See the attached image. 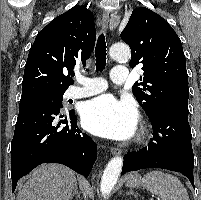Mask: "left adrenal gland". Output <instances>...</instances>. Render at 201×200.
<instances>
[{
  "mask_svg": "<svg viewBox=\"0 0 201 200\" xmlns=\"http://www.w3.org/2000/svg\"><path fill=\"white\" fill-rule=\"evenodd\" d=\"M127 195H133L136 200H138L137 194L132 190V188L127 192Z\"/></svg>",
  "mask_w": 201,
  "mask_h": 200,
  "instance_id": "left-adrenal-gland-1",
  "label": "left adrenal gland"
}]
</instances>
